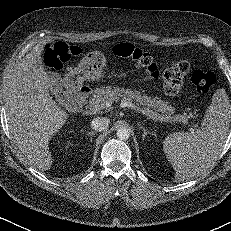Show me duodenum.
<instances>
[{
	"mask_svg": "<svg viewBox=\"0 0 231 231\" xmlns=\"http://www.w3.org/2000/svg\"><path fill=\"white\" fill-rule=\"evenodd\" d=\"M92 89L87 84L67 85L62 97L63 103L72 108L79 109L90 97Z\"/></svg>",
	"mask_w": 231,
	"mask_h": 231,
	"instance_id": "1",
	"label": "duodenum"
}]
</instances>
